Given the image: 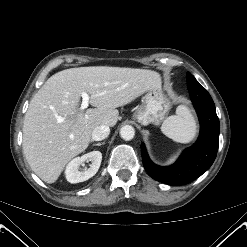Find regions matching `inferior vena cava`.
Masks as SVG:
<instances>
[{
    "mask_svg": "<svg viewBox=\"0 0 247 247\" xmlns=\"http://www.w3.org/2000/svg\"><path fill=\"white\" fill-rule=\"evenodd\" d=\"M110 133L109 126L106 125H100L94 128L92 132V140L93 141H101L108 137Z\"/></svg>",
    "mask_w": 247,
    "mask_h": 247,
    "instance_id": "obj_1",
    "label": "inferior vena cava"
}]
</instances>
